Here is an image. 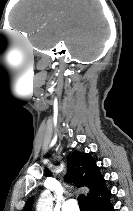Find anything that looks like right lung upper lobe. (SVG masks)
I'll use <instances>...</instances> for the list:
<instances>
[{"label":"right lung upper lobe","mask_w":133,"mask_h":211,"mask_svg":"<svg viewBox=\"0 0 133 211\" xmlns=\"http://www.w3.org/2000/svg\"><path fill=\"white\" fill-rule=\"evenodd\" d=\"M66 182H73L77 187H87L89 205L105 201L111 192L107 189L105 179L99 167L88 153L73 152L68 157V172ZM33 198H29L23 211H31Z\"/></svg>","instance_id":"right-lung-upper-lobe-1"}]
</instances>
